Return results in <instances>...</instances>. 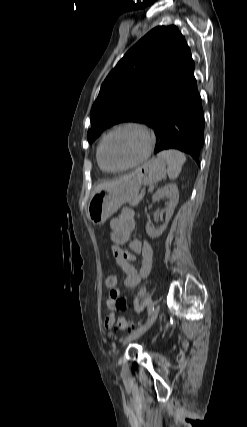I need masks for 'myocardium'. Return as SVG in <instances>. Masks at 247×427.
<instances>
[{
    "label": "myocardium",
    "mask_w": 247,
    "mask_h": 427,
    "mask_svg": "<svg viewBox=\"0 0 247 427\" xmlns=\"http://www.w3.org/2000/svg\"><path fill=\"white\" fill-rule=\"evenodd\" d=\"M125 128H134V129H137L140 132H142L147 139V146H146V149H145L143 155L139 159H137L133 163L128 164L126 166L113 169V168L108 167L105 164V161L103 159V148H104L106 141L108 140V138L110 136H112L117 131H119L121 129H125ZM154 145H155V135H154L153 131L148 126H146L145 124H142L139 122H133V121L123 122V123H120V124L116 125L115 127H113L109 132H107L104 135V137L100 141V144L98 146V160H99L100 165L102 166V168L105 171L110 172V173L122 172V171H125L128 169H131L133 167H136V166L142 164L143 162H145L149 158V156H150V154L154 148Z\"/></svg>",
    "instance_id": "obj_1"
}]
</instances>
